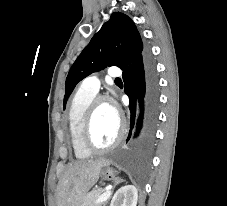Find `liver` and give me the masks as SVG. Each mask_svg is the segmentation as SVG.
<instances>
[{
	"label": "liver",
	"mask_w": 227,
	"mask_h": 206,
	"mask_svg": "<svg viewBox=\"0 0 227 206\" xmlns=\"http://www.w3.org/2000/svg\"><path fill=\"white\" fill-rule=\"evenodd\" d=\"M107 162L106 159H98L69 165L57 186V206H81L85 194L97 182Z\"/></svg>",
	"instance_id": "1"
}]
</instances>
